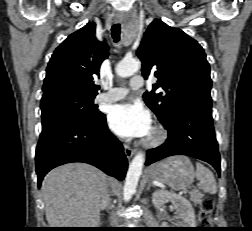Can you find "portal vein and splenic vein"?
<instances>
[{
  "label": "portal vein and splenic vein",
  "instance_id": "obj_1",
  "mask_svg": "<svg viewBox=\"0 0 252 231\" xmlns=\"http://www.w3.org/2000/svg\"><path fill=\"white\" fill-rule=\"evenodd\" d=\"M186 193H187L186 189L180 191V194H186Z\"/></svg>",
  "mask_w": 252,
  "mask_h": 231
}]
</instances>
